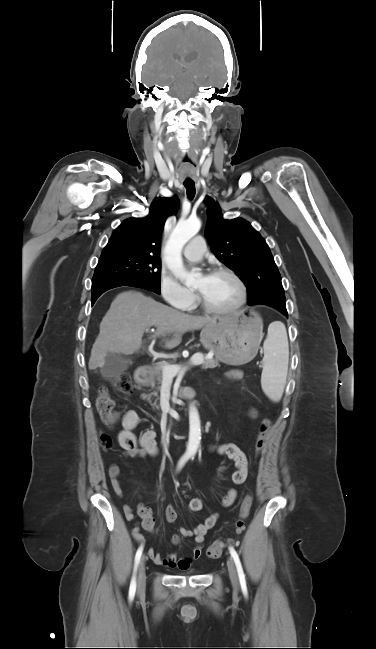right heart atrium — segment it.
Listing matches in <instances>:
<instances>
[{"label":"right heart atrium","mask_w":376,"mask_h":649,"mask_svg":"<svg viewBox=\"0 0 376 649\" xmlns=\"http://www.w3.org/2000/svg\"><path fill=\"white\" fill-rule=\"evenodd\" d=\"M158 287L161 297L172 307L178 309H187L195 301V294L192 290L183 286L167 270H161Z\"/></svg>","instance_id":"obj_1"}]
</instances>
